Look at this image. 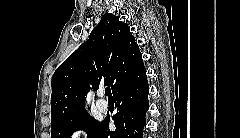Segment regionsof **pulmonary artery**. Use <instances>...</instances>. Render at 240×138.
<instances>
[{"label":"pulmonary artery","instance_id":"e3ab8cb5","mask_svg":"<svg viewBox=\"0 0 240 138\" xmlns=\"http://www.w3.org/2000/svg\"><path fill=\"white\" fill-rule=\"evenodd\" d=\"M97 95L99 96V100L96 103L97 108L101 112H106L108 110V103L103 99L104 91L102 89H99L97 91Z\"/></svg>","mask_w":240,"mask_h":138}]
</instances>
